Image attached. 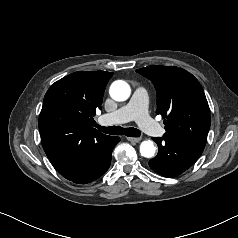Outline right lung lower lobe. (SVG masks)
<instances>
[{
    "instance_id": "1",
    "label": "right lung lower lobe",
    "mask_w": 238,
    "mask_h": 238,
    "mask_svg": "<svg viewBox=\"0 0 238 238\" xmlns=\"http://www.w3.org/2000/svg\"><path fill=\"white\" fill-rule=\"evenodd\" d=\"M119 141V137L107 136L96 143L94 148L80 162L58 170V172L64 178L78 184H86L96 180L110 167L112 150Z\"/></svg>"
}]
</instances>
